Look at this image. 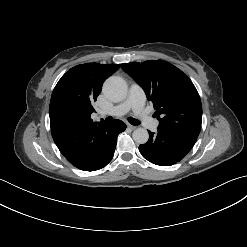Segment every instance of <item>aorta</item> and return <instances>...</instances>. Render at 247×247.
<instances>
[{
    "label": "aorta",
    "mask_w": 247,
    "mask_h": 247,
    "mask_svg": "<svg viewBox=\"0 0 247 247\" xmlns=\"http://www.w3.org/2000/svg\"><path fill=\"white\" fill-rule=\"evenodd\" d=\"M104 96L112 102H121L127 97L128 87L126 82L118 77H111L103 84ZM133 140L138 144H145L149 139L148 131L136 128L132 133Z\"/></svg>",
    "instance_id": "obj_1"
}]
</instances>
